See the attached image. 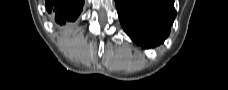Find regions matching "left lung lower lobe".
<instances>
[{
    "label": "left lung lower lobe",
    "mask_w": 228,
    "mask_h": 90,
    "mask_svg": "<svg viewBox=\"0 0 228 90\" xmlns=\"http://www.w3.org/2000/svg\"><path fill=\"white\" fill-rule=\"evenodd\" d=\"M124 31L143 47L156 46L169 35L176 16L174 0H115Z\"/></svg>",
    "instance_id": "0a47b994"
}]
</instances>
